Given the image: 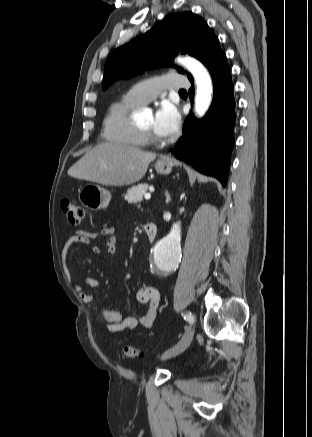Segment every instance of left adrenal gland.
<instances>
[{"label":"left adrenal gland","instance_id":"obj_1","mask_svg":"<svg viewBox=\"0 0 312 437\" xmlns=\"http://www.w3.org/2000/svg\"><path fill=\"white\" fill-rule=\"evenodd\" d=\"M166 197H167V201H169L170 200V196H169L168 193H166Z\"/></svg>","mask_w":312,"mask_h":437}]
</instances>
